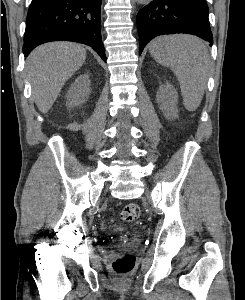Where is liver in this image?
Listing matches in <instances>:
<instances>
[{
    "instance_id": "obj_1",
    "label": "liver",
    "mask_w": 245,
    "mask_h": 300,
    "mask_svg": "<svg viewBox=\"0 0 245 300\" xmlns=\"http://www.w3.org/2000/svg\"><path fill=\"white\" fill-rule=\"evenodd\" d=\"M86 50L71 42L46 43L34 49L26 60V76L38 109L47 113L66 81L82 66Z\"/></svg>"
}]
</instances>
